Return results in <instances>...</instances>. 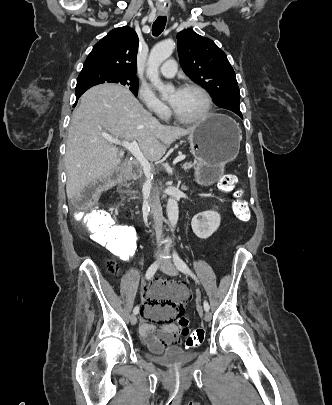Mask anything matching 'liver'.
Returning a JSON list of instances; mask_svg holds the SVG:
<instances>
[{
    "mask_svg": "<svg viewBox=\"0 0 332 405\" xmlns=\"http://www.w3.org/2000/svg\"><path fill=\"white\" fill-rule=\"evenodd\" d=\"M194 129L195 125L187 129L162 125L119 85L92 87L82 95L69 126L65 154L68 199L121 163L116 146L104 134L136 141L145 158L158 161L170 144Z\"/></svg>",
    "mask_w": 332,
    "mask_h": 405,
    "instance_id": "6515ba94",
    "label": "liver"
}]
</instances>
